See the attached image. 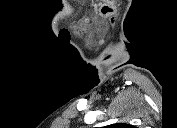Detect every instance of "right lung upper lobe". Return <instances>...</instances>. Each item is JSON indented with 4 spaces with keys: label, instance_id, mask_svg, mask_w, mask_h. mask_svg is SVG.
I'll return each mask as SVG.
<instances>
[{
    "label": "right lung upper lobe",
    "instance_id": "right-lung-upper-lobe-1",
    "mask_svg": "<svg viewBox=\"0 0 177 128\" xmlns=\"http://www.w3.org/2000/svg\"><path fill=\"white\" fill-rule=\"evenodd\" d=\"M117 128H131V125L125 124V123H118L116 125H114Z\"/></svg>",
    "mask_w": 177,
    "mask_h": 128
}]
</instances>
